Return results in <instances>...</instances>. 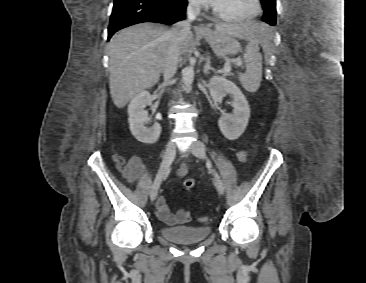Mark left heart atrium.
<instances>
[{
    "mask_svg": "<svg viewBox=\"0 0 366 283\" xmlns=\"http://www.w3.org/2000/svg\"><path fill=\"white\" fill-rule=\"evenodd\" d=\"M195 1V3L198 4H215L217 2V0H193Z\"/></svg>",
    "mask_w": 366,
    "mask_h": 283,
    "instance_id": "left-heart-atrium-1",
    "label": "left heart atrium"
}]
</instances>
